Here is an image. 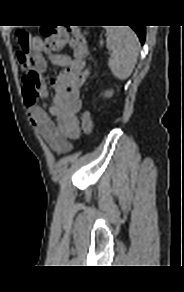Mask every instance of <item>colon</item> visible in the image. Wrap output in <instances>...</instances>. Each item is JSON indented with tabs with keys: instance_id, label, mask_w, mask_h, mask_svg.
Masks as SVG:
<instances>
[{
	"instance_id": "1",
	"label": "colon",
	"mask_w": 184,
	"mask_h": 292,
	"mask_svg": "<svg viewBox=\"0 0 184 292\" xmlns=\"http://www.w3.org/2000/svg\"><path fill=\"white\" fill-rule=\"evenodd\" d=\"M41 34L44 37V50L47 53H55L69 44L73 56L76 59H89V51L84 35L78 28L62 29L57 27H42ZM20 48L26 50L30 44V36L25 31H18L15 35ZM93 129L91 114L84 112L81 115V130L84 135H89Z\"/></svg>"
}]
</instances>
